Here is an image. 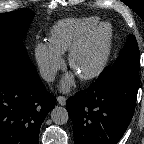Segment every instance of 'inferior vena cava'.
I'll use <instances>...</instances> for the list:
<instances>
[{
    "mask_svg": "<svg viewBox=\"0 0 144 144\" xmlns=\"http://www.w3.org/2000/svg\"><path fill=\"white\" fill-rule=\"evenodd\" d=\"M41 75L44 80H46L48 82H53L55 80L56 71L52 70V69L45 70L41 73Z\"/></svg>",
    "mask_w": 144,
    "mask_h": 144,
    "instance_id": "inferior-vena-cava-1",
    "label": "inferior vena cava"
}]
</instances>
